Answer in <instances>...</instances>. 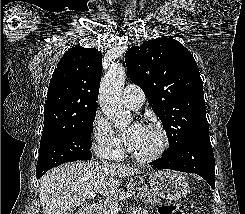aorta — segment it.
I'll use <instances>...</instances> for the list:
<instances>
[{"mask_svg": "<svg viewBox=\"0 0 245 214\" xmlns=\"http://www.w3.org/2000/svg\"><path fill=\"white\" fill-rule=\"evenodd\" d=\"M125 78V67L115 63L108 69L100 84L99 102L102 112L118 128L125 127L131 120L122 101Z\"/></svg>", "mask_w": 245, "mask_h": 214, "instance_id": "762f6f07", "label": "aorta"}]
</instances>
